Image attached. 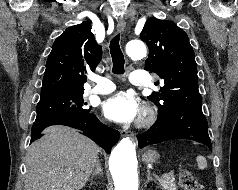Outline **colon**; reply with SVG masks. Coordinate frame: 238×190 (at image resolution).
Here are the masks:
<instances>
[{"mask_svg":"<svg viewBox=\"0 0 238 190\" xmlns=\"http://www.w3.org/2000/svg\"><path fill=\"white\" fill-rule=\"evenodd\" d=\"M180 185L184 190H205V187L197 180L194 174L188 169H181L178 172Z\"/></svg>","mask_w":238,"mask_h":190,"instance_id":"5ec220e1","label":"colon"}]
</instances>
